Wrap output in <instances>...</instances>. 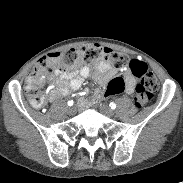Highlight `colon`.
<instances>
[{
	"label": "colon",
	"instance_id": "5ec220e1",
	"mask_svg": "<svg viewBox=\"0 0 183 183\" xmlns=\"http://www.w3.org/2000/svg\"><path fill=\"white\" fill-rule=\"evenodd\" d=\"M100 59L105 60L117 69L129 65L133 74L140 80L136 86L133 98L137 107L141 108L153 102L154 95L159 90V82L156 76L148 70L144 62L136 59L130 61L128 56L121 52L96 44H86L78 48L50 53L38 60L34 68L30 71L26 84V95L30 103L36 108H40L45 104L44 93L34 86V81L40 73L48 71L56 65L61 68L75 67L81 63H89ZM124 86V79L115 77L108 83L104 96L108 98L119 94L123 91Z\"/></svg>",
	"mask_w": 183,
	"mask_h": 183
}]
</instances>
